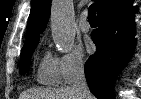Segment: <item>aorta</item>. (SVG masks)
I'll list each match as a JSON object with an SVG mask.
<instances>
[{
  "instance_id": "aorta-1",
  "label": "aorta",
  "mask_w": 141,
  "mask_h": 99,
  "mask_svg": "<svg viewBox=\"0 0 141 99\" xmlns=\"http://www.w3.org/2000/svg\"><path fill=\"white\" fill-rule=\"evenodd\" d=\"M50 20L52 38L58 50L69 52L75 40L73 1L53 0Z\"/></svg>"
}]
</instances>
